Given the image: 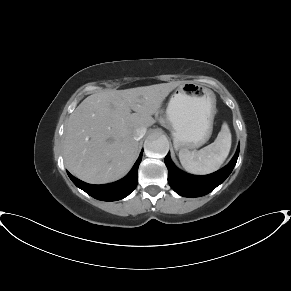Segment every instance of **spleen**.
<instances>
[{"label": "spleen", "instance_id": "spleen-1", "mask_svg": "<svg viewBox=\"0 0 291 291\" xmlns=\"http://www.w3.org/2000/svg\"><path fill=\"white\" fill-rule=\"evenodd\" d=\"M231 148V132L223 123L215 141L197 152L187 149L179 151L183 168L196 175H206L217 171L226 160Z\"/></svg>", "mask_w": 291, "mask_h": 291}]
</instances>
